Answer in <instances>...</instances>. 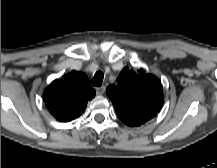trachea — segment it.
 I'll use <instances>...</instances> for the list:
<instances>
[{
  "instance_id": "1",
  "label": "trachea",
  "mask_w": 217,
  "mask_h": 168,
  "mask_svg": "<svg viewBox=\"0 0 217 168\" xmlns=\"http://www.w3.org/2000/svg\"><path fill=\"white\" fill-rule=\"evenodd\" d=\"M103 78L104 74L101 71L96 72L93 78V85L97 87L101 86Z\"/></svg>"
}]
</instances>
